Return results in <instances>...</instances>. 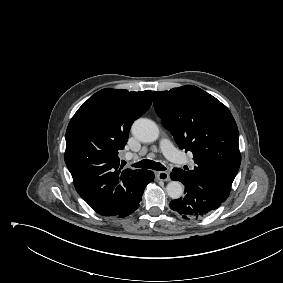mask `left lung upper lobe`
Listing matches in <instances>:
<instances>
[{
	"label": "left lung upper lobe",
	"mask_w": 283,
	"mask_h": 283,
	"mask_svg": "<svg viewBox=\"0 0 283 283\" xmlns=\"http://www.w3.org/2000/svg\"><path fill=\"white\" fill-rule=\"evenodd\" d=\"M154 108L179 148L191 151L195 166L174 168L187 182L225 201L239 170L238 128L229 109L193 85L154 91Z\"/></svg>",
	"instance_id": "obj_1"
}]
</instances>
